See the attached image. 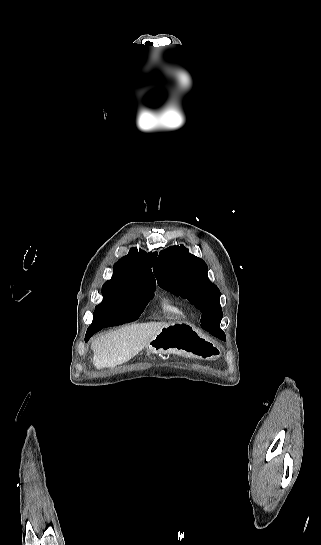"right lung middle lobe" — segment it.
Returning <instances> with one entry per match:
<instances>
[{
	"instance_id": "dd1d6c3e",
	"label": "right lung middle lobe",
	"mask_w": 321,
	"mask_h": 545,
	"mask_svg": "<svg viewBox=\"0 0 321 545\" xmlns=\"http://www.w3.org/2000/svg\"><path fill=\"white\" fill-rule=\"evenodd\" d=\"M154 291H155V288H150V287L132 290V289L103 285L102 287L103 301L98 306L101 307L109 302H112L115 300H121L124 298H135V299H139L141 302V313H142L144 308L148 304L149 300L152 298ZM98 306H96L95 308L93 323L99 322V319L96 313V311L99 308Z\"/></svg>"
}]
</instances>
